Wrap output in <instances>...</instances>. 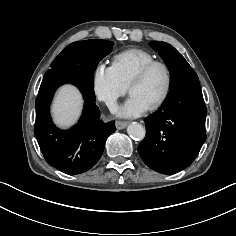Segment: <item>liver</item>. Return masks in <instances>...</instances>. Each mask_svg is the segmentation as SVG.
I'll return each mask as SVG.
<instances>
[{
	"mask_svg": "<svg viewBox=\"0 0 236 236\" xmlns=\"http://www.w3.org/2000/svg\"><path fill=\"white\" fill-rule=\"evenodd\" d=\"M82 105V96L74 86L65 85L60 88L52 105L56 124L60 127L74 124L80 116Z\"/></svg>",
	"mask_w": 236,
	"mask_h": 236,
	"instance_id": "obj_1",
	"label": "liver"
}]
</instances>
